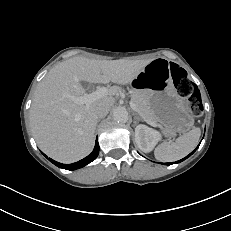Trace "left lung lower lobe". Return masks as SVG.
I'll return each mask as SVG.
<instances>
[{"label":"left lung lower lobe","mask_w":231,"mask_h":231,"mask_svg":"<svg viewBox=\"0 0 231 231\" xmlns=\"http://www.w3.org/2000/svg\"><path fill=\"white\" fill-rule=\"evenodd\" d=\"M197 149V148H196ZM195 149V150H196ZM194 150V151H195ZM194 151L193 152H191L188 156H186L185 158H183V159H181V160H179V161H177V162H175V163H179V162H181V161H183V160H185L186 158H188L191 154H193L194 153ZM166 165H171L172 163H165Z\"/></svg>","instance_id":"left-lung-lower-lobe-1"}]
</instances>
